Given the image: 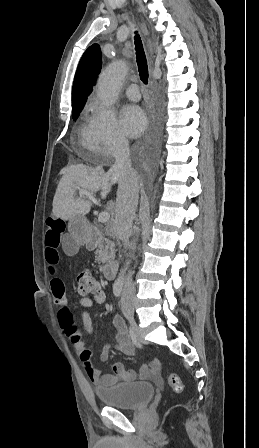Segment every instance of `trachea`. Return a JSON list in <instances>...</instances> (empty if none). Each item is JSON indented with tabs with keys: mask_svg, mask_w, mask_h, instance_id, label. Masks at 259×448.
Returning a JSON list of instances; mask_svg holds the SVG:
<instances>
[{
	"mask_svg": "<svg viewBox=\"0 0 259 448\" xmlns=\"http://www.w3.org/2000/svg\"><path fill=\"white\" fill-rule=\"evenodd\" d=\"M135 50H136L139 76L142 82L146 85L148 83V76H149L148 65L143 44L139 35H135Z\"/></svg>",
	"mask_w": 259,
	"mask_h": 448,
	"instance_id": "1",
	"label": "trachea"
}]
</instances>
